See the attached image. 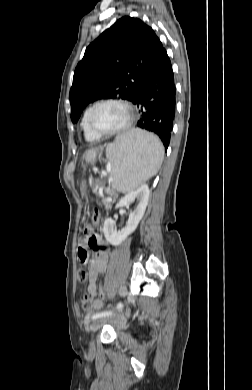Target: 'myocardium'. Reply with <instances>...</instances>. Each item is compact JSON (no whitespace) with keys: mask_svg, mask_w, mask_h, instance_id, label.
Masks as SVG:
<instances>
[{"mask_svg":"<svg viewBox=\"0 0 252 390\" xmlns=\"http://www.w3.org/2000/svg\"><path fill=\"white\" fill-rule=\"evenodd\" d=\"M108 103L118 104V105H121L122 107H124L128 113V118H127L126 122L121 127L114 129V130H111V131H102L94 125L93 116H94L95 110L97 109L98 106H100L102 104H108ZM135 116H136L135 110L130 102L123 100V99H118V98H108V99L100 100V101L96 102L95 104H93V106L91 107L90 112H89L88 123H89L90 129L100 136H115V135H118V134H121V133L127 131L134 123Z\"/></svg>","mask_w":252,"mask_h":390,"instance_id":"f54148a6","label":"myocardium"}]
</instances>
